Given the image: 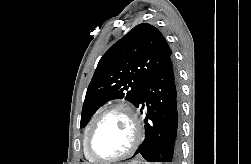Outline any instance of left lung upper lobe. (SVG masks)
I'll return each mask as SVG.
<instances>
[{"instance_id": "1", "label": "left lung upper lobe", "mask_w": 251, "mask_h": 164, "mask_svg": "<svg viewBox=\"0 0 251 164\" xmlns=\"http://www.w3.org/2000/svg\"><path fill=\"white\" fill-rule=\"evenodd\" d=\"M171 55L156 27L142 23L130 30L100 59L87 89L80 125L108 100L125 98L137 106L145 83Z\"/></svg>"}]
</instances>
